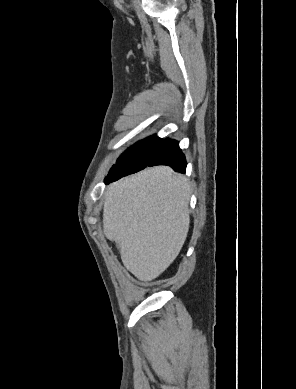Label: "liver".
Segmentation results:
<instances>
[{
	"label": "liver",
	"instance_id": "obj_1",
	"mask_svg": "<svg viewBox=\"0 0 296 389\" xmlns=\"http://www.w3.org/2000/svg\"><path fill=\"white\" fill-rule=\"evenodd\" d=\"M190 184L170 167L148 168L109 185L103 231L128 271L151 281L175 260L190 223Z\"/></svg>",
	"mask_w": 296,
	"mask_h": 389
}]
</instances>
